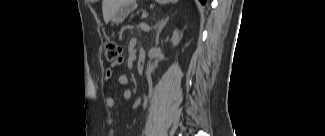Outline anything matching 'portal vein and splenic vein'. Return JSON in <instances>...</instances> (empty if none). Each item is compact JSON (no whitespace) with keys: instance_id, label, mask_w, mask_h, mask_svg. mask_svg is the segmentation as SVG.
<instances>
[{"instance_id":"portal-vein-and-splenic-vein-1","label":"portal vein and splenic vein","mask_w":325,"mask_h":136,"mask_svg":"<svg viewBox=\"0 0 325 136\" xmlns=\"http://www.w3.org/2000/svg\"><path fill=\"white\" fill-rule=\"evenodd\" d=\"M140 27L143 28H148L147 25L145 23H140Z\"/></svg>"}]
</instances>
